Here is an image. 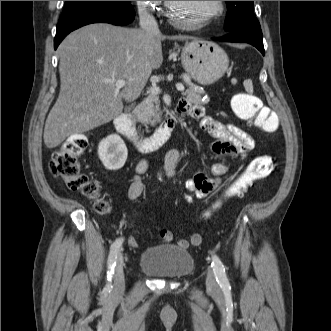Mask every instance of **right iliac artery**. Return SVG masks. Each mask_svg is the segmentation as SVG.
Instances as JSON below:
<instances>
[{
  "label": "right iliac artery",
  "instance_id": "82829eb1",
  "mask_svg": "<svg viewBox=\"0 0 331 331\" xmlns=\"http://www.w3.org/2000/svg\"><path fill=\"white\" fill-rule=\"evenodd\" d=\"M123 238H118L115 240V242L112 244L111 248H110V253L108 256V261H107V265H108V271H107V279H108V284L106 286V290H109L112 288V275L114 273V266L116 263V259L118 256V253L120 252L122 243H123Z\"/></svg>",
  "mask_w": 331,
  "mask_h": 331
}]
</instances>
